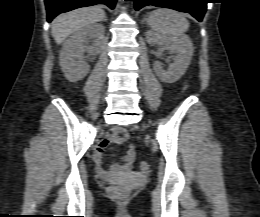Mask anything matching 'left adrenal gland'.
I'll use <instances>...</instances> for the list:
<instances>
[{
  "instance_id": "1",
  "label": "left adrenal gland",
  "mask_w": 260,
  "mask_h": 217,
  "mask_svg": "<svg viewBox=\"0 0 260 217\" xmlns=\"http://www.w3.org/2000/svg\"><path fill=\"white\" fill-rule=\"evenodd\" d=\"M145 21H147V18H146V17H144V19H143V22H145Z\"/></svg>"
}]
</instances>
